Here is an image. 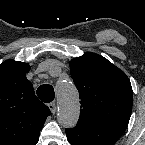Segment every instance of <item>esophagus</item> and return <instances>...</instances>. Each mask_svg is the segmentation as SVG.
I'll return each instance as SVG.
<instances>
[{"label":"esophagus","mask_w":145,"mask_h":145,"mask_svg":"<svg viewBox=\"0 0 145 145\" xmlns=\"http://www.w3.org/2000/svg\"><path fill=\"white\" fill-rule=\"evenodd\" d=\"M48 107L51 111L52 114H55L56 113V110H57V107H56V103L55 102H51L48 104Z\"/></svg>","instance_id":"obj_1"}]
</instances>
